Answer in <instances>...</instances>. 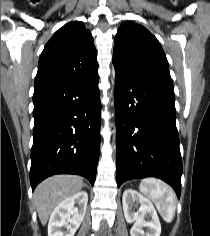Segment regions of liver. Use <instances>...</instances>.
Segmentation results:
<instances>
[{
	"mask_svg": "<svg viewBox=\"0 0 210 236\" xmlns=\"http://www.w3.org/2000/svg\"><path fill=\"white\" fill-rule=\"evenodd\" d=\"M83 186V179L74 175H56L41 182L34 192L41 224L47 223L52 211L61 201L80 192Z\"/></svg>",
	"mask_w": 210,
	"mask_h": 236,
	"instance_id": "liver-1",
	"label": "liver"
}]
</instances>
